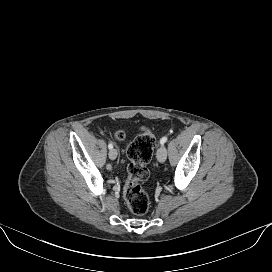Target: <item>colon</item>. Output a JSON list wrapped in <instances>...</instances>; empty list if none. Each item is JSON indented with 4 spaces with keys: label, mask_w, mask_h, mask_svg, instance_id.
Here are the masks:
<instances>
[{
    "label": "colon",
    "mask_w": 272,
    "mask_h": 272,
    "mask_svg": "<svg viewBox=\"0 0 272 272\" xmlns=\"http://www.w3.org/2000/svg\"><path fill=\"white\" fill-rule=\"evenodd\" d=\"M115 139L124 138L123 131L114 134ZM155 137L144 129L128 146L127 157L130 161L127 168V180L123 195L129 210L138 216L144 215L149 209V198L141 183L149 177L147 163L151 160L155 148Z\"/></svg>",
    "instance_id": "obj_1"
}]
</instances>
